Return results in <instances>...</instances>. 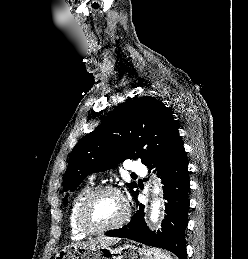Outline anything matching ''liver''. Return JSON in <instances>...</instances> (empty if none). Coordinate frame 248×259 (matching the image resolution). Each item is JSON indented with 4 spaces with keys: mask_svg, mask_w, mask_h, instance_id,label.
<instances>
[{
    "mask_svg": "<svg viewBox=\"0 0 248 259\" xmlns=\"http://www.w3.org/2000/svg\"><path fill=\"white\" fill-rule=\"evenodd\" d=\"M119 240L120 239L116 237L101 236L85 242H78L74 246L94 249L99 247L112 246L119 242Z\"/></svg>",
    "mask_w": 248,
    "mask_h": 259,
    "instance_id": "liver-1",
    "label": "liver"
}]
</instances>
